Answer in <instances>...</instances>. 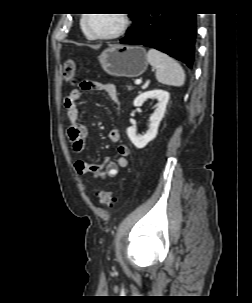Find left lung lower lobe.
I'll return each mask as SVG.
<instances>
[{
  "label": "left lung lower lobe",
  "mask_w": 252,
  "mask_h": 303,
  "mask_svg": "<svg viewBox=\"0 0 252 303\" xmlns=\"http://www.w3.org/2000/svg\"><path fill=\"white\" fill-rule=\"evenodd\" d=\"M195 13H141L122 44H141L160 50L192 68L195 55Z\"/></svg>",
  "instance_id": "0a47b994"
}]
</instances>
